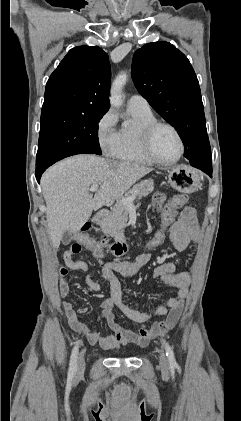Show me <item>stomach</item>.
Segmentation results:
<instances>
[{
	"instance_id": "stomach-1",
	"label": "stomach",
	"mask_w": 241,
	"mask_h": 421,
	"mask_svg": "<svg viewBox=\"0 0 241 421\" xmlns=\"http://www.w3.org/2000/svg\"><path fill=\"white\" fill-rule=\"evenodd\" d=\"M170 184L182 193H192L199 187L200 176L192 168L181 165L169 170Z\"/></svg>"
}]
</instances>
